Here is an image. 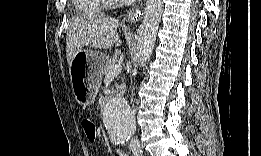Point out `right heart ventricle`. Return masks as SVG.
I'll list each match as a JSON object with an SVG mask.
<instances>
[{
    "label": "right heart ventricle",
    "mask_w": 261,
    "mask_h": 156,
    "mask_svg": "<svg viewBox=\"0 0 261 156\" xmlns=\"http://www.w3.org/2000/svg\"><path fill=\"white\" fill-rule=\"evenodd\" d=\"M75 4L84 11H96L102 5L98 0H76Z\"/></svg>",
    "instance_id": "obj_1"
}]
</instances>
